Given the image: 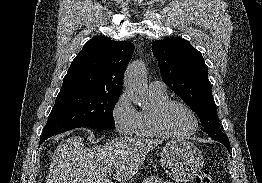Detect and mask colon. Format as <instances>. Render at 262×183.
<instances>
[{
	"mask_svg": "<svg viewBox=\"0 0 262 183\" xmlns=\"http://www.w3.org/2000/svg\"><path fill=\"white\" fill-rule=\"evenodd\" d=\"M197 183H211V173L203 171L197 176Z\"/></svg>",
	"mask_w": 262,
	"mask_h": 183,
	"instance_id": "5ec220e1",
	"label": "colon"
}]
</instances>
